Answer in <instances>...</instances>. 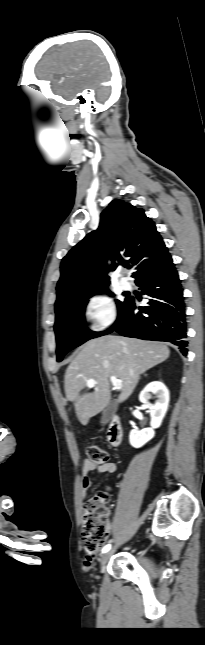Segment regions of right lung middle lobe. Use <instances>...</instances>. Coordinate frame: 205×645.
<instances>
[{
    "mask_svg": "<svg viewBox=\"0 0 205 645\" xmlns=\"http://www.w3.org/2000/svg\"><path fill=\"white\" fill-rule=\"evenodd\" d=\"M111 296L113 293L104 290ZM95 294V293H94ZM94 294H87L79 297L73 305L56 313L55 333L57 340V361L60 362L63 356L73 348L83 344L89 339L96 338L102 332H92L85 325L84 310L88 299ZM128 302L117 301L118 314L120 315L123 308Z\"/></svg>",
    "mask_w": 205,
    "mask_h": 645,
    "instance_id": "right-lung-middle-lobe-1",
    "label": "right lung middle lobe"
}]
</instances>
